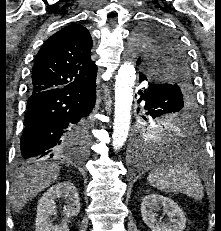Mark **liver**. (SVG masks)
<instances>
[{
  "instance_id": "obj_1",
  "label": "liver",
  "mask_w": 221,
  "mask_h": 231,
  "mask_svg": "<svg viewBox=\"0 0 221 231\" xmlns=\"http://www.w3.org/2000/svg\"><path fill=\"white\" fill-rule=\"evenodd\" d=\"M59 173L60 166L49 162H38L20 169L10 189V202L13 210L19 213L29 200L54 183Z\"/></svg>"
}]
</instances>
